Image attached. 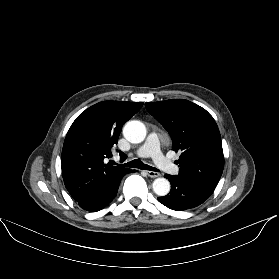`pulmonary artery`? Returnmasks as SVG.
<instances>
[{
  "mask_svg": "<svg viewBox=\"0 0 279 279\" xmlns=\"http://www.w3.org/2000/svg\"><path fill=\"white\" fill-rule=\"evenodd\" d=\"M137 155L141 157H152L155 163L167 173H178L176 165L163 155L160 147L159 135L155 132L149 134L144 145L137 151Z\"/></svg>",
  "mask_w": 279,
  "mask_h": 279,
  "instance_id": "obj_1",
  "label": "pulmonary artery"
}]
</instances>
